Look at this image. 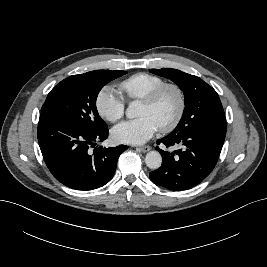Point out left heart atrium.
<instances>
[{"label": "left heart atrium", "mask_w": 267, "mask_h": 267, "mask_svg": "<svg viewBox=\"0 0 267 267\" xmlns=\"http://www.w3.org/2000/svg\"><path fill=\"white\" fill-rule=\"evenodd\" d=\"M158 126L148 116L124 121L112 129V137L120 143L142 144L158 130Z\"/></svg>", "instance_id": "left-heart-atrium-1"}]
</instances>
